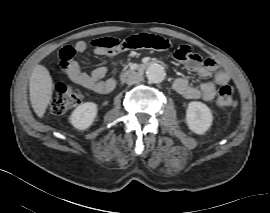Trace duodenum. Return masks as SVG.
Listing matches in <instances>:
<instances>
[{"label": "duodenum", "instance_id": "1", "mask_svg": "<svg viewBox=\"0 0 270 213\" xmlns=\"http://www.w3.org/2000/svg\"><path fill=\"white\" fill-rule=\"evenodd\" d=\"M147 67H148L147 63L141 64L135 69V73L141 74L147 69Z\"/></svg>", "mask_w": 270, "mask_h": 213}]
</instances>
